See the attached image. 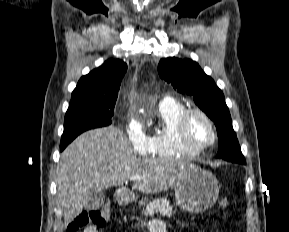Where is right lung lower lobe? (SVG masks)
Returning <instances> with one entry per match:
<instances>
[{
	"instance_id": "right-lung-lower-lobe-1",
	"label": "right lung lower lobe",
	"mask_w": 289,
	"mask_h": 232,
	"mask_svg": "<svg viewBox=\"0 0 289 232\" xmlns=\"http://www.w3.org/2000/svg\"><path fill=\"white\" fill-rule=\"evenodd\" d=\"M64 148H60V150L62 151Z\"/></svg>"
}]
</instances>
